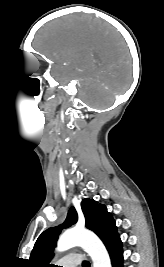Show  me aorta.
Returning <instances> with one entry per match:
<instances>
[{
	"mask_svg": "<svg viewBox=\"0 0 164 267\" xmlns=\"http://www.w3.org/2000/svg\"><path fill=\"white\" fill-rule=\"evenodd\" d=\"M82 247L91 257L93 267H111L109 254L102 241L92 232L70 229L58 240L57 251L63 252L72 247Z\"/></svg>",
	"mask_w": 164,
	"mask_h": 267,
	"instance_id": "aorta-1",
	"label": "aorta"
}]
</instances>
